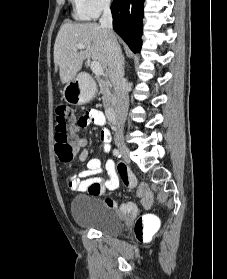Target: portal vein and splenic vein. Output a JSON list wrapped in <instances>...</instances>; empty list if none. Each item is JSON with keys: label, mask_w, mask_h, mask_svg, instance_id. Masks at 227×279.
<instances>
[{"label": "portal vein and splenic vein", "mask_w": 227, "mask_h": 279, "mask_svg": "<svg viewBox=\"0 0 227 279\" xmlns=\"http://www.w3.org/2000/svg\"><path fill=\"white\" fill-rule=\"evenodd\" d=\"M85 48H86L85 45L78 44L74 47V50L77 51V50L85 49ZM91 70L97 76H101V75L104 74L102 65L97 61H92L91 62Z\"/></svg>", "instance_id": "1"}]
</instances>
